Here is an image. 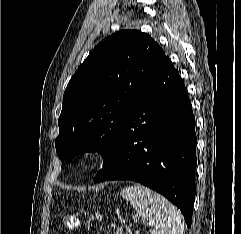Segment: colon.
<instances>
[{"label":"colon","mask_w":241,"mask_h":234,"mask_svg":"<svg viewBox=\"0 0 241 234\" xmlns=\"http://www.w3.org/2000/svg\"><path fill=\"white\" fill-rule=\"evenodd\" d=\"M78 221L75 218L68 217L64 220L65 227L72 229L77 225Z\"/></svg>","instance_id":"1"}]
</instances>
